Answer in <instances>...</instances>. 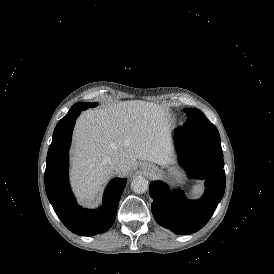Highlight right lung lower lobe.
<instances>
[{
  "instance_id": "1",
  "label": "right lung lower lobe",
  "mask_w": 274,
  "mask_h": 274,
  "mask_svg": "<svg viewBox=\"0 0 274 274\" xmlns=\"http://www.w3.org/2000/svg\"><path fill=\"white\" fill-rule=\"evenodd\" d=\"M87 107L85 103L74 104L58 122L45 170L46 193L54 211L70 231L81 236L100 234L112 226L126 184L125 179H112L105 190L103 206L97 210L83 209L76 203L68 182V150L75 121Z\"/></svg>"
}]
</instances>
